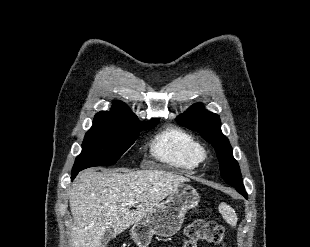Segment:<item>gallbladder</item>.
<instances>
[{
    "instance_id": "bac80fb5",
    "label": "gallbladder",
    "mask_w": 310,
    "mask_h": 247,
    "mask_svg": "<svg viewBox=\"0 0 310 247\" xmlns=\"http://www.w3.org/2000/svg\"><path fill=\"white\" fill-rule=\"evenodd\" d=\"M114 237L112 229H107L101 239V246L100 247H107L109 241Z\"/></svg>"
}]
</instances>
